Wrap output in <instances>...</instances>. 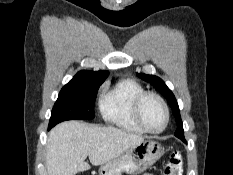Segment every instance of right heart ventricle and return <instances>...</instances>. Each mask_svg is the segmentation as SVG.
<instances>
[{
    "label": "right heart ventricle",
    "mask_w": 233,
    "mask_h": 175,
    "mask_svg": "<svg viewBox=\"0 0 233 175\" xmlns=\"http://www.w3.org/2000/svg\"><path fill=\"white\" fill-rule=\"evenodd\" d=\"M144 92L143 86L134 79H122L113 87L106 89L99 98V110L102 118L109 124L136 134L144 130L133 115L135 98Z\"/></svg>",
    "instance_id": "right-heart-ventricle-1"
}]
</instances>
